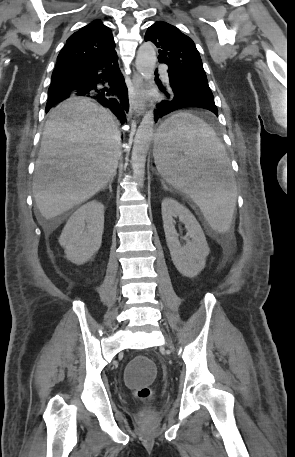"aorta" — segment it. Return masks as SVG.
Listing matches in <instances>:
<instances>
[{
	"label": "aorta",
	"instance_id": "762f6f07",
	"mask_svg": "<svg viewBox=\"0 0 295 457\" xmlns=\"http://www.w3.org/2000/svg\"><path fill=\"white\" fill-rule=\"evenodd\" d=\"M156 51L151 42L143 43L136 57V69L146 80H151L156 66ZM154 136V112L149 110L145 113L134 138L132 149V170L139 182L144 181L146 155Z\"/></svg>",
	"mask_w": 295,
	"mask_h": 457
}]
</instances>
